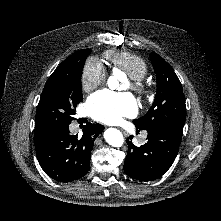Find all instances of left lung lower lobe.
I'll return each instance as SVG.
<instances>
[{
  "label": "left lung lower lobe",
  "instance_id": "obj_1",
  "mask_svg": "<svg viewBox=\"0 0 221 221\" xmlns=\"http://www.w3.org/2000/svg\"><path fill=\"white\" fill-rule=\"evenodd\" d=\"M183 126L179 123L153 126L147 130V142L140 147L132 143V136L128 137L125 173L140 181H152L165 174L177 156Z\"/></svg>",
  "mask_w": 221,
  "mask_h": 221
}]
</instances>
